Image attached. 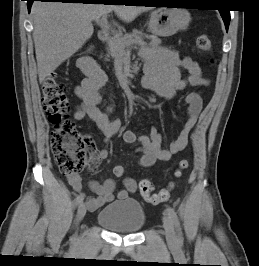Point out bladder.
Instances as JSON below:
<instances>
[{
    "mask_svg": "<svg viewBox=\"0 0 259 266\" xmlns=\"http://www.w3.org/2000/svg\"><path fill=\"white\" fill-rule=\"evenodd\" d=\"M98 223L119 234H135L145 225L146 215L141 204L133 199L113 202L97 215Z\"/></svg>",
    "mask_w": 259,
    "mask_h": 266,
    "instance_id": "obj_1",
    "label": "bladder"
}]
</instances>
